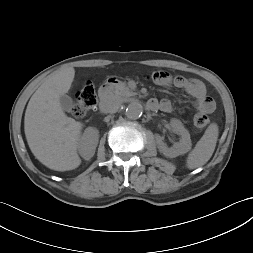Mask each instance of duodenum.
<instances>
[{
    "instance_id": "410a0bca",
    "label": "duodenum",
    "mask_w": 253,
    "mask_h": 253,
    "mask_svg": "<svg viewBox=\"0 0 253 253\" xmlns=\"http://www.w3.org/2000/svg\"><path fill=\"white\" fill-rule=\"evenodd\" d=\"M118 83V80L116 78H111L109 81H107L100 89H99V97L101 100H106L108 97V94L110 92V89ZM148 107L150 109L156 108V103L153 100H150L148 102Z\"/></svg>"
}]
</instances>
